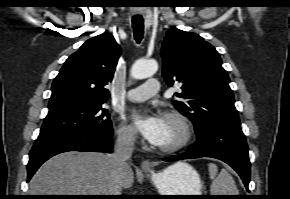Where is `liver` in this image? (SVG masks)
I'll use <instances>...</instances> for the list:
<instances>
[{
	"mask_svg": "<svg viewBox=\"0 0 290 199\" xmlns=\"http://www.w3.org/2000/svg\"><path fill=\"white\" fill-rule=\"evenodd\" d=\"M114 164L111 155L66 152L46 161L30 181L31 195H109ZM134 174L125 171L123 187L130 188Z\"/></svg>",
	"mask_w": 290,
	"mask_h": 199,
	"instance_id": "1",
	"label": "liver"
}]
</instances>
